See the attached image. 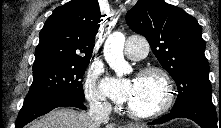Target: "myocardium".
I'll return each mask as SVG.
<instances>
[{
	"mask_svg": "<svg viewBox=\"0 0 221 128\" xmlns=\"http://www.w3.org/2000/svg\"><path fill=\"white\" fill-rule=\"evenodd\" d=\"M147 76H155L160 80L162 94L150 109L134 110L127 105L126 112L135 119H151L164 114L170 108L174 99L173 81L166 70L156 66H148L140 72V78Z\"/></svg>",
	"mask_w": 221,
	"mask_h": 128,
	"instance_id": "obj_1",
	"label": "myocardium"
}]
</instances>
